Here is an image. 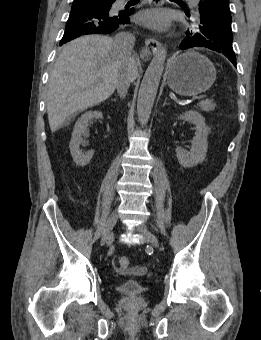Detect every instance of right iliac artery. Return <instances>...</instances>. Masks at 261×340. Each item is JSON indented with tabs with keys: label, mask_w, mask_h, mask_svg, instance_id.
Wrapping results in <instances>:
<instances>
[{
	"label": "right iliac artery",
	"mask_w": 261,
	"mask_h": 340,
	"mask_svg": "<svg viewBox=\"0 0 261 340\" xmlns=\"http://www.w3.org/2000/svg\"><path fill=\"white\" fill-rule=\"evenodd\" d=\"M112 253V249H111V251H109V254H111Z\"/></svg>",
	"instance_id": "obj_1"
}]
</instances>
